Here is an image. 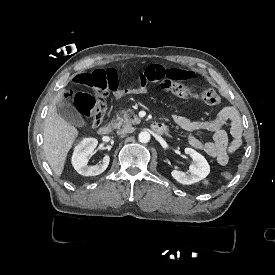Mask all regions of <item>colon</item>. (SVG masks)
I'll return each mask as SVG.
<instances>
[{
  "label": "colon",
  "instance_id": "colon-1",
  "mask_svg": "<svg viewBox=\"0 0 275 275\" xmlns=\"http://www.w3.org/2000/svg\"><path fill=\"white\" fill-rule=\"evenodd\" d=\"M78 76L73 78L72 85L74 88H82L83 91H70L65 100H60L58 105L71 104L73 98L74 111L79 119L86 125H99L107 112V93L102 92H109L108 81H104L103 72H91L89 68H80ZM159 87L175 96L201 100L212 106H219L222 103L221 97L208 88L194 85H159ZM87 92L95 93L92 95ZM222 176L229 179L232 174L225 171Z\"/></svg>",
  "mask_w": 275,
  "mask_h": 275
}]
</instances>
